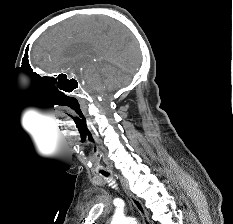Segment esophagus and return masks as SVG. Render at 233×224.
I'll return each instance as SVG.
<instances>
[{"instance_id": "1", "label": "esophagus", "mask_w": 233, "mask_h": 224, "mask_svg": "<svg viewBox=\"0 0 233 224\" xmlns=\"http://www.w3.org/2000/svg\"><path fill=\"white\" fill-rule=\"evenodd\" d=\"M121 184H122V187H123L125 193L128 195V197L132 201L133 205L136 207V209L140 213L142 220H143V224H150L148 212L145 209V207L143 206L142 202L137 197L134 196V194L130 191L128 184L125 181H123V179H121Z\"/></svg>"}]
</instances>
